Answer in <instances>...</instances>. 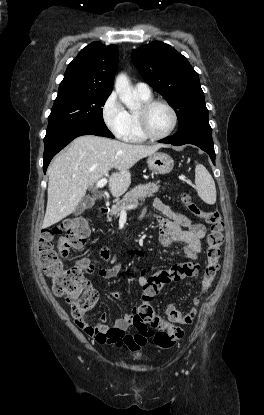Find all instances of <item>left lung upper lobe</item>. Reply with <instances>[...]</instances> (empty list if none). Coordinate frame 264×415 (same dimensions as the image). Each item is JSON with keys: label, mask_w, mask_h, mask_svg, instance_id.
Wrapping results in <instances>:
<instances>
[{"label": "left lung upper lobe", "mask_w": 264, "mask_h": 415, "mask_svg": "<svg viewBox=\"0 0 264 415\" xmlns=\"http://www.w3.org/2000/svg\"><path fill=\"white\" fill-rule=\"evenodd\" d=\"M131 58L145 81L175 109L179 129L208 119L198 73L182 54L156 41L134 50Z\"/></svg>", "instance_id": "5c2ea615"}]
</instances>
